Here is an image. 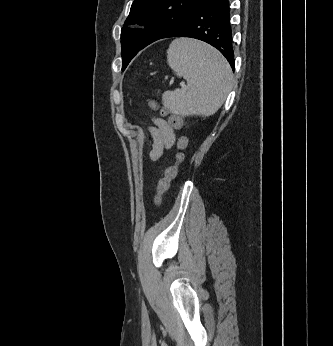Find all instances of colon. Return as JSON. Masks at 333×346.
<instances>
[{"label": "colon", "instance_id": "colon-1", "mask_svg": "<svg viewBox=\"0 0 333 346\" xmlns=\"http://www.w3.org/2000/svg\"><path fill=\"white\" fill-rule=\"evenodd\" d=\"M171 123L176 126H181V121L179 118H172ZM187 138L182 137L178 142V148L180 152L175 157V162L167 166L164 170L163 176L157 182V193L155 196V202L159 203L161 201L162 195L169 189L171 182L176 178L178 166L183 161V150L187 146Z\"/></svg>", "mask_w": 333, "mask_h": 346}]
</instances>
